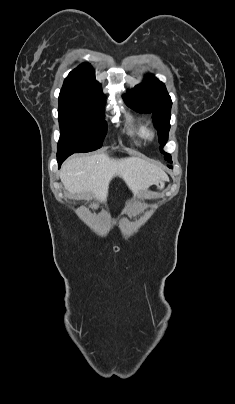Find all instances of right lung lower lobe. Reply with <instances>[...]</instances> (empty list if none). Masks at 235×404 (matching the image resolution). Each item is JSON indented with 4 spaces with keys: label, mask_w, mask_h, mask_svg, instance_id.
I'll use <instances>...</instances> for the list:
<instances>
[{
    "label": "right lung lower lobe",
    "mask_w": 235,
    "mask_h": 404,
    "mask_svg": "<svg viewBox=\"0 0 235 404\" xmlns=\"http://www.w3.org/2000/svg\"><path fill=\"white\" fill-rule=\"evenodd\" d=\"M72 153H66V154H57V162L59 167L61 164L65 161L67 157H69Z\"/></svg>",
    "instance_id": "1"
}]
</instances>
